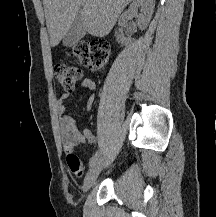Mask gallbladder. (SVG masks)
I'll use <instances>...</instances> for the list:
<instances>
[{
  "label": "gallbladder",
  "instance_id": "gallbladder-1",
  "mask_svg": "<svg viewBox=\"0 0 216 217\" xmlns=\"http://www.w3.org/2000/svg\"><path fill=\"white\" fill-rule=\"evenodd\" d=\"M85 35V30L79 15L73 21L66 35L63 37V45L65 47H74L80 39Z\"/></svg>",
  "mask_w": 216,
  "mask_h": 217
}]
</instances>
